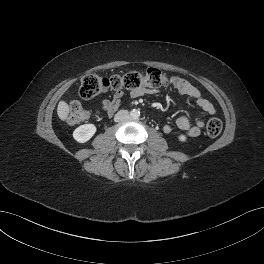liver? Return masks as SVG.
Segmentation results:
<instances>
[{
    "mask_svg": "<svg viewBox=\"0 0 264 264\" xmlns=\"http://www.w3.org/2000/svg\"><path fill=\"white\" fill-rule=\"evenodd\" d=\"M70 113V107L69 105L65 102V101H60L58 103V107H57V114L58 117L65 121L68 118V115Z\"/></svg>",
    "mask_w": 264,
    "mask_h": 264,
    "instance_id": "liver-1",
    "label": "liver"
}]
</instances>
